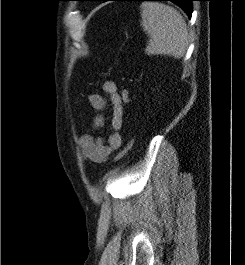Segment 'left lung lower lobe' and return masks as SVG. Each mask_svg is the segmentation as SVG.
<instances>
[{
    "label": "left lung lower lobe",
    "instance_id": "left-lung-lower-lobe-1",
    "mask_svg": "<svg viewBox=\"0 0 245 265\" xmlns=\"http://www.w3.org/2000/svg\"><path fill=\"white\" fill-rule=\"evenodd\" d=\"M103 1L105 2L109 0H103ZM113 1H171L179 5L187 13V15L191 17L192 14L191 2L196 0H113Z\"/></svg>",
    "mask_w": 245,
    "mask_h": 265
}]
</instances>
